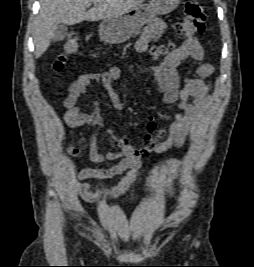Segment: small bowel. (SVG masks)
Returning a JSON list of instances; mask_svg holds the SVG:
<instances>
[{
	"label": "small bowel",
	"mask_w": 254,
	"mask_h": 267,
	"mask_svg": "<svg viewBox=\"0 0 254 267\" xmlns=\"http://www.w3.org/2000/svg\"><path fill=\"white\" fill-rule=\"evenodd\" d=\"M165 28L162 19H154L144 30L136 44L139 51H144L148 44ZM193 61L196 64L197 77H189L178 71L184 61ZM144 71L152 72L162 100L167 105L177 104L178 112L174 121L168 127L169 135L159 141L165 129L156 131V124L152 117L147 118L144 145L134 147L129 138L123 136L118 139V150L102 153L99 150L100 138L93 135L90 140L89 159L93 163L116 161L118 163L109 168H85L78 172L77 191L81 198L87 202L109 201L122 196L136 181L137 173L144 157L151 153H163L167 150L184 145L187 135L199 123L209 100L210 84L206 81L214 71L211 64L204 62V52L195 38L187 39L180 47L172 51L160 65L150 66ZM122 71L112 67L103 73H85L71 85L68 96L64 100V120L72 128L94 127L102 130L112 142H115L114 131L103 120L94 103L90 113L81 111L78 101L93 82H99L106 90L110 103L115 110H122L124 104L119 97L114 82L121 77ZM129 171V175L118 182L109 192L90 189L85 179H107Z\"/></svg>",
	"instance_id": "c3829d8e"
}]
</instances>
